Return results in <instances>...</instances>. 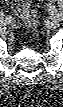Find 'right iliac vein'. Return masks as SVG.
Masks as SVG:
<instances>
[{"mask_svg":"<svg viewBox=\"0 0 63 107\" xmlns=\"http://www.w3.org/2000/svg\"><path fill=\"white\" fill-rule=\"evenodd\" d=\"M6 21V23H8V24H10V25H13L14 24V21H13V19L10 17V18H8L7 20H5Z\"/></svg>","mask_w":63,"mask_h":107,"instance_id":"right-iliac-vein-1","label":"right iliac vein"}]
</instances>
